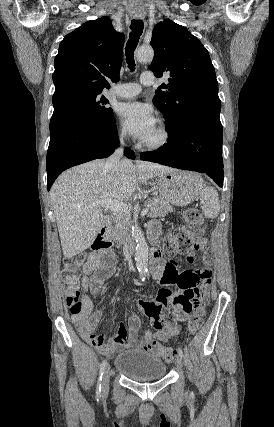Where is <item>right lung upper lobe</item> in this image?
I'll list each match as a JSON object with an SVG mask.
<instances>
[{
	"label": "right lung upper lobe",
	"instance_id": "right-lung-upper-lobe-1",
	"mask_svg": "<svg viewBox=\"0 0 274 427\" xmlns=\"http://www.w3.org/2000/svg\"><path fill=\"white\" fill-rule=\"evenodd\" d=\"M124 34L108 16L84 23L64 37L55 57L53 102L67 94H95L119 80Z\"/></svg>",
	"mask_w": 274,
	"mask_h": 427
}]
</instances>
